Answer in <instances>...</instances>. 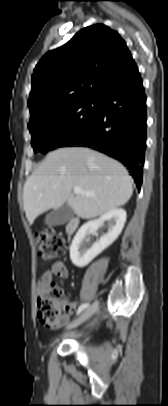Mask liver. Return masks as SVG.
<instances>
[{"mask_svg":"<svg viewBox=\"0 0 168 406\" xmlns=\"http://www.w3.org/2000/svg\"><path fill=\"white\" fill-rule=\"evenodd\" d=\"M74 187L95 196L74 195ZM132 194V178L118 161L88 148H60L27 179L23 205L30 225L40 214L65 203L78 217L91 219L123 206Z\"/></svg>","mask_w":168,"mask_h":406,"instance_id":"1","label":"liver"}]
</instances>
